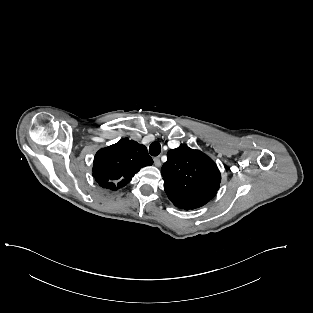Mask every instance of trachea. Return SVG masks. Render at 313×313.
Masks as SVG:
<instances>
[{"label": "trachea", "mask_w": 313, "mask_h": 313, "mask_svg": "<svg viewBox=\"0 0 313 313\" xmlns=\"http://www.w3.org/2000/svg\"><path fill=\"white\" fill-rule=\"evenodd\" d=\"M161 152V145L158 142H153L149 147V153L152 156H158Z\"/></svg>", "instance_id": "1"}]
</instances>
